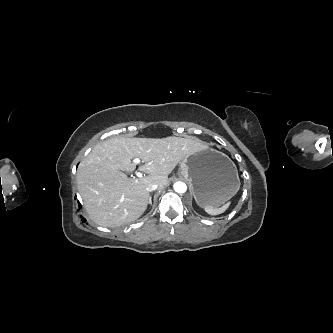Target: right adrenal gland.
<instances>
[{"instance_id": "2a0ac1e0", "label": "right adrenal gland", "mask_w": 333, "mask_h": 333, "mask_svg": "<svg viewBox=\"0 0 333 333\" xmlns=\"http://www.w3.org/2000/svg\"><path fill=\"white\" fill-rule=\"evenodd\" d=\"M148 203H149L150 205H152V197H151V196H149Z\"/></svg>"}]
</instances>
